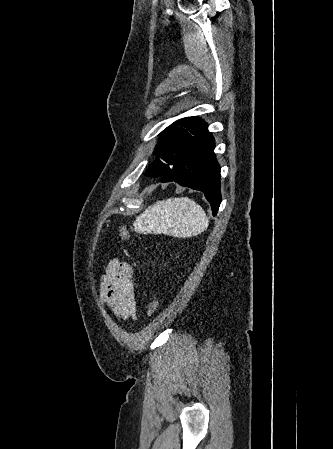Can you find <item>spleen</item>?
Segmentation results:
<instances>
[{"mask_svg": "<svg viewBox=\"0 0 333 449\" xmlns=\"http://www.w3.org/2000/svg\"><path fill=\"white\" fill-rule=\"evenodd\" d=\"M209 225L203 208L194 200L168 198L149 206L134 223L135 230L188 238L196 236Z\"/></svg>", "mask_w": 333, "mask_h": 449, "instance_id": "spleen-1", "label": "spleen"}]
</instances>
